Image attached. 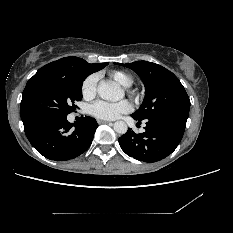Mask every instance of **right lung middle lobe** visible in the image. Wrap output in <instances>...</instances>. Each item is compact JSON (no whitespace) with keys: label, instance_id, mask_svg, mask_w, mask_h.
Masks as SVG:
<instances>
[{"label":"right lung middle lobe","instance_id":"dd1d6c3e","mask_svg":"<svg viewBox=\"0 0 233 233\" xmlns=\"http://www.w3.org/2000/svg\"><path fill=\"white\" fill-rule=\"evenodd\" d=\"M108 65L104 63L101 68ZM92 72L75 76H43L29 87L22 110L30 123L50 117L67 116L74 111L75 102L82 99V84Z\"/></svg>","mask_w":233,"mask_h":233}]
</instances>
